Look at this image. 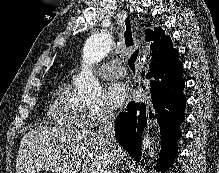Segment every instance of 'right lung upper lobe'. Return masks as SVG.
Returning a JSON list of instances; mask_svg holds the SVG:
<instances>
[{
    "label": "right lung upper lobe",
    "mask_w": 219,
    "mask_h": 173,
    "mask_svg": "<svg viewBox=\"0 0 219 173\" xmlns=\"http://www.w3.org/2000/svg\"><path fill=\"white\" fill-rule=\"evenodd\" d=\"M145 34L146 40L153 41V44L150 46L153 62H156L160 57L177 52V50L172 47L171 39L165 36L161 28H155L154 31L146 30Z\"/></svg>",
    "instance_id": "1"
}]
</instances>
